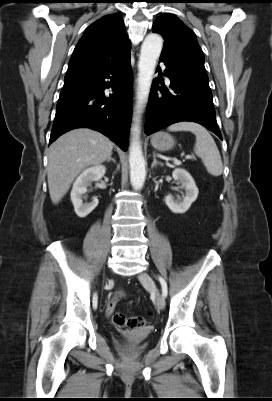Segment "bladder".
I'll return each instance as SVG.
<instances>
[{
    "label": "bladder",
    "instance_id": "bladder-1",
    "mask_svg": "<svg viewBox=\"0 0 272 401\" xmlns=\"http://www.w3.org/2000/svg\"><path fill=\"white\" fill-rule=\"evenodd\" d=\"M152 332V328L148 326L137 328L130 332L131 336L137 337L138 342H134L126 337H115L114 344L117 350L127 357L141 355L147 348L145 338Z\"/></svg>",
    "mask_w": 272,
    "mask_h": 401
}]
</instances>
